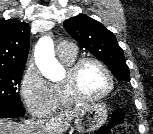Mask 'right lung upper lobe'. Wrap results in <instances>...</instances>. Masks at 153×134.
Instances as JSON below:
<instances>
[{
  "label": "right lung upper lobe",
  "instance_id": "cb5924a9",
  "mask_svg": "<svg viewBox=\"0 0 153 134\" xmlns=\"http://www.w3.org/2000/svg\"><path fill=\"white\" fill-rule=\"evenodd\" d=\"M29 25L0 19V68H22L29 51Z\"/></svg>",
  "mask_w": 153,
  "mask_h": 134
}]
</instances>
